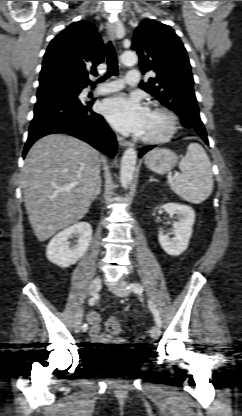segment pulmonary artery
I'll return each instance as SVG.
<instances>
[{"mask_svg":"<svg viewBox=\"0 0 242 416\" xmlns=\"http://www.w3.org/2000/svg\"><path fill=\"white\" fill-rule=\"evenodd\" d=\"M140 79V71L137 69H130L127 72L125 83L128 85H137ZM123 81L115 80L94 90L95 94H110L119 91L122 88Z\"/></svg>","mask_w":242,"mask_h":416,"instance_id":"pulmonary-artery-1","label":"pulmonary artery"}]
</instances>
